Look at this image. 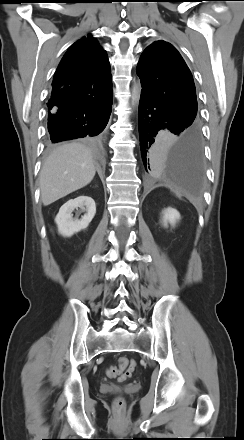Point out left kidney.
I'll return each instance as SVG.
<instances>
[{"mask_svg":"<svg viewBox=\"0 0 244 440\" xmlns=\"http://www.w3.org/2000/svg\"><path fill=\"white\" fill-rule=\"evenodd\" d=\"M180 219V213L173 208H167L163 212V225L167 227V224L170 223L172 226L176 224V222Z\"/></svg>","mask_w":244,"mask_h":440,"instance_id":"obj_1","label":"left kidney"}]
</instances>
